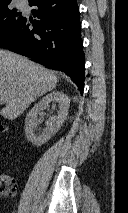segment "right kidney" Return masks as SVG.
Wrapping results in <instances>:
<instances>
[{"label":"right kidney","instance_id":"ca27d5eb","mask_svg":"<svg viewBox=\"0 0 128 213\" xmlns=\"http://www.w3.org/2000/svg\"><path fill=\"white\" fill-rule=\"evenodd\" d=\"M51 102L58 103V114L56 116H51L46 121L45 128L41 134H36L37 115L40 111L48 108ZM69 105V97L61 91H52L51 93L44 96L27 113L25 119V135L27 139L35 146H42L47 141H49L50 138L58 132L64 120L67 118Z\"/></svg>","mask_w":128,"mask_h":213}]
</instances>
